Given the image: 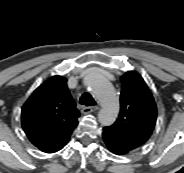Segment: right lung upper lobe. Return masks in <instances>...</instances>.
Instances as JSON below:
<instances>
[{"label":"right lung upper lobe","mask_w":184,"mask_h":173,"mask_svg":"<svg viewBox=\"0 0 184 173\" xmlns=\"http://www.w3.org/2000/svg\"><path fill=\"white\" fill-rule=\"evenodd\" d=\"M53 76L41 84L22 108L21 120L29 140L45 153L61 150L78 125L80 116L66 85Z\"/></svg>","instance_id":"cb5924a9"}]
</instances>
